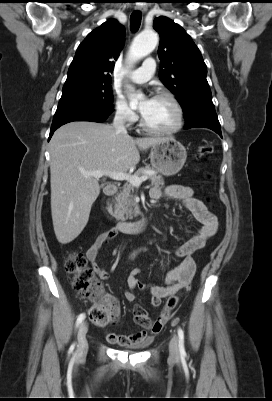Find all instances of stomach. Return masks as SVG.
<instances>
[{
    "label": "stomach",
    "instance_id": "1",
    "mask_svg": "<svg viewBox=\"0 0 272 401\" xmlns=\"http://www.w3.org/2000/svg\"><path fill=\"white\" fill-rule=\"evenodd\" d=\"M187 158L185 147L174 137H164L152 146L150 161L152 167L164 176L178 173Z\"/></svg>",
    "mask_w": 272,
    "mask_h": 401
}]
</instances>
